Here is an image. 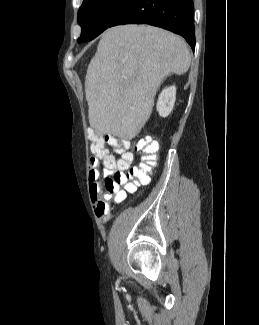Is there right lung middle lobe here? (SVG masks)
<instances>
[{"label": "right lung middle lobe", "mask_w": 259, "mask_h": 325, "mask_svg": "<svg viewBox=\"0 0 259 325\" xmlns=\"http://www.w3.org/2000/svg\"><path fill=\"white\" fill-rule=\"evenodd\" d=\"M127 0H83L78 11V23L82 27L77 42L93 40L106 30Z\"/></svg>", "instance_id": "obj_1"}]
</instances>
